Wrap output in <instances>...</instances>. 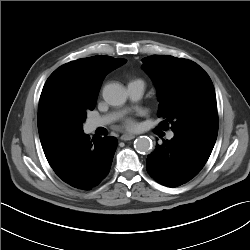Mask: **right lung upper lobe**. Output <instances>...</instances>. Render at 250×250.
I'll return each instance as SVG.
<instances>
[{
  "instance_id": "obj_1",
  "label": "right lung upper lobe",
  "mask_w": 250,
  "mask_h": 250,
  "mask_svg": "<svg viewBox=\"0 0 250 250\" xmlns=\"http://www.w3.org/2000/svg\"><path fill=\"white\" fill-rule=\"evenodd\" d=\"M124 63L125 59L93 56L64 64L49 76L38 109L42 147L68 136L82 115L95 108L104 77Z\"/></svg>"
}]
</instances>
